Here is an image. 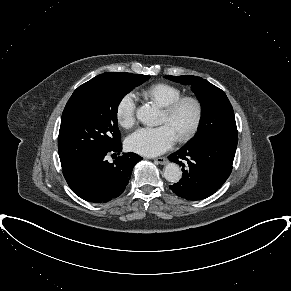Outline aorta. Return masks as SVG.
Masks as SVG:
<instances>
[{
    "instance_id": "762f6f07",
    "label": "aorta",
    "mask_w": 291,
    "mask_h": 291,
    "mask_svg": "<svg viewBox=\"0 0 291 291\" xmlns=\"http://www.w3.org/2000/svg\"><path fill=\"white\" fill-rule=\"evenodd\" d=\"M159 113L156 106L145 104L137 109L136 117L140 122L154 126L158 123ZM164 177L168 182H179L182 177L180 167L175 163H168L164 168Z\"/></svg>"
}]
</instances>
